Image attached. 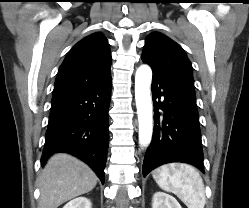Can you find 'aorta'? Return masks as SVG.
I'll return each mask as SVG.
<instances>
[{
    "label": "aorta",
    "instance_id": "obj_1",
    "mask_svg": "<svg viewBox=\"0 0 249 208\" xmlns=\"http://www.w3.org/2000/svg\"><path fill=\"white\" fill-rule=\"evenodd\" d=\"M151 81V68L148 65L140 66L135 75V99L139 121V143L144 147L149 145L153 131Z\"/></svg>",
    "mask_w": 249,
    "mask_h": 208
}]
</instances>
